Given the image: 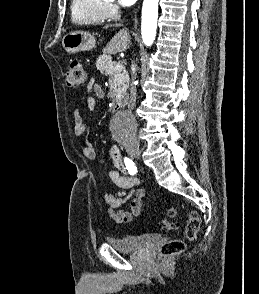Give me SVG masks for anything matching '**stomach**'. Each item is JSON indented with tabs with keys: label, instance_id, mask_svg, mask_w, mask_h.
<instances>
[{
	"label": "stomach",
	"instance_id": "obj_1",
	"mask_svg": "<svg viewBox=\"0 0 259 294\" xmlns=\"http://www.w3.org/2000/svg\"><path fill=\"white\" fill-rule=\"evenodd\" d=\"M62 45L67 53L74 54L93 49L96 39L88 32L72 31L63 37Z\"/></svg>",
	"mask_w": 259,
	"mask_h": 294
}]
</instances>
